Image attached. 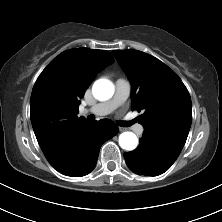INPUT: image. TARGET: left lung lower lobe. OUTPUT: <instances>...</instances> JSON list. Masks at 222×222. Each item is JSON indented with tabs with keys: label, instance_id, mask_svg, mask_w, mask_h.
Wrapping results in <instances>:
<instances>
[{
	"label": "left lung lower lobe",
	"instance_id": "0a47b994",
	"mask_svg": "<svg viewBox=\"0 0 222 222\" xmlns=\"http://www.w3.org/2000/svg\"><path fill=\"white\" fill-rule=\"evenodd\" d=\"M179 154L159 136L143 134L138 148L125 152L124 158L134 173L156 176L168 170Z\"/></svg>",
	"mask_w": 222,
	"mask_h": 222
}]
</instances>
